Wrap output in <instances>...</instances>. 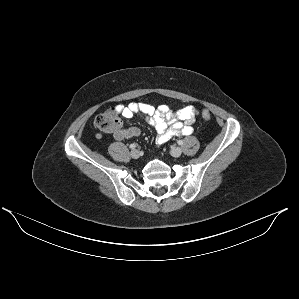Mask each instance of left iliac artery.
<instances>
[{
  "label": "left iliac artery",
  "mask_w": 299,
  "mask_h": 299,
  "mask_svg": "<svg viewBox=\"0 0 299 299\" xmlns=\"http://www.w3.org/2000/svg\"><path fill=\"white\" fill-rule=\"evenodd\" d=\"M177 143H178L179 145H182V144H183V141H182V140H179Z\"/></svg>",
  "instance_id": "obj_1"
}]
</instances>
